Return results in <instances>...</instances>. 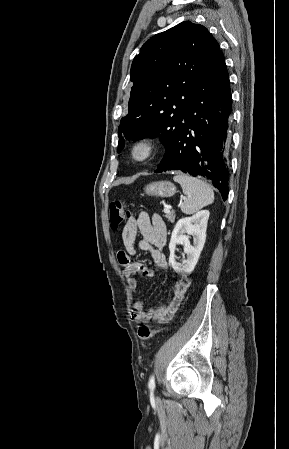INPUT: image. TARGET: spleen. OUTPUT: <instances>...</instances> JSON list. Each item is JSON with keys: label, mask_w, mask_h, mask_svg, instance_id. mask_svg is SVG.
Masks as SVG:
<instances>
[{"label": "spleen", "mask_w": 289, "mask_h": 449, "mask_svg": "<svg viewBox=\"0 0 289 449\" xmlns=\"http://www.w3.org/2000/svg\"><path fill=\"white\" fill-rule=\"evenodd\" d=\"M173 179L181 185L186 195L180 205L184 214H193L214 202V192L206 182L183 173H177Z\"/></svg>", "instance_id": "1"}]
</instances>
